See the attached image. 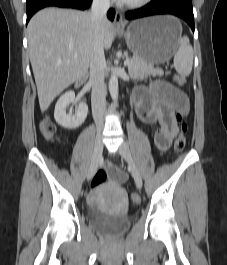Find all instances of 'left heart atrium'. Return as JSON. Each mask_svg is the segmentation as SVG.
I'll return each mask as SVG.
<instances>
[{
  "label": "left heart atrium",
  "mask_w": 227,
  "mask_h": 265,
  "mask_svg": "<svg viewBox=\"0 0 227 265\" xmlns=\"http://www.w3.org/2000/svg\"><path fill=\"white\" fill-rule=\"evenodd\" d=\"M118 1H120V2H125L126 0H118Z\"/></svg>",
  "instance_id": "39dd6f15"
}]
</instances>
